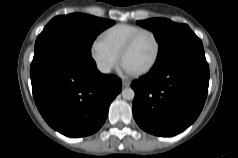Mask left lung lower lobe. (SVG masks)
Instances as JSON below:
<instances>
[{
  "mask_svg": "<svg viewBox=\"0 0 238 158\" xmlns=\"http://www.w3.org/2000/svg\"><path fill=\"white\" fill-rule=\"evenodd\" d=\"M208 85L209 67L202 44L174 54L131 83L136 123L157 136L182 132L199 116Z\"/></svg>",
  "mask_w": 238,
  "mask_h": 158,
  "instance_id": "left-lung-lower-lobe-1",
  "label": "left lung lower lobe"
}]
</instances>
